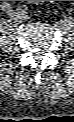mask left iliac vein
I'll list each match as a JSON object with an SVG mask.
<instances>
[{
	"mask_svg": "<svg viewBox=\"0 0 74 122\" xmlns=\"http://www.w3.org/2000/svg\"><path fill=\"white\" fill-rule=\"evenodd\" d=\"M24 19H27L28 17L24 15L23 13L21 14Z\"/></svg>",
	"mask_w": 74,
	"mask_h": 122,
	"instance_id": "1",
	"label": "left iliac vein"
}]
</instances>
